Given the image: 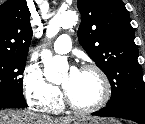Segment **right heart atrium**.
I'll use <instances>...</instances> for the list:
<instances>
[{"label": "right heart atrium", "mask_w": 145, "mask_h": 124, "mask_svg": "<svg viewBox=\"0 0 145 124\" xmlns=\"http://www.w3.org/2000/svg\"><path fill=\"white\" fill-rule=\"evenodd\" d=\"M23 88L26 99L38 110L55 112L60 109V90L45 79L39 68L28 66L25 69Z\"/></svg>", "instance_id": "obj_1"}]
</instances>
